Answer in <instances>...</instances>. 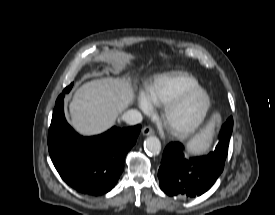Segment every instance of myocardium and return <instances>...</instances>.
Returning <instances> with one entry per match:
<instances>
[{
    "label": "myocardium",
    "instance_id": "f54148a6",
    "mask_svg": "<svg viewBox=\"0 0 275 215\" xmlns=\"http://www.w3.org/2000/svg\"><path fill=\"white\" fill-rule=\"evenodd\" d=\"M200 94L203 96V106L201 109V112L198 116V118L189 126L186 127H179L174 124L172 120L173 113L191 96ZM211 108V97L206 89L203 87L197 86L191 89H187L180 94H178L176 97H174L171 101H169L165 105L164 109V123L169 130V132L178 138H188L192 136L194 133H196L201 126L204 124L209 111Z\"/></svg>",
    "mask_w": 275,
    "mask_h": 215
}]
</instances>
